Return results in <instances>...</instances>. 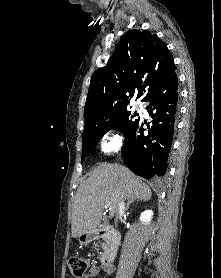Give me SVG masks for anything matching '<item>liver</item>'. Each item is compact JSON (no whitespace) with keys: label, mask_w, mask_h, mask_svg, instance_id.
<instances>
[{"label":"liver","mask_w":221,"mask_h":278,"mask_svg":"<svg viewBox=\"0 0 221 278\" xmlns=\"http://www.w3.org/2000/svg\"><path fill=\"white\" fill-rule=\"evenodd\" d=\"M151 196L149 186L125 166L100 163L77 190L72 210V237L96 230L107 203L112 218L121 200L148 201Z\"/></svg>","instance_id":"1"}]
</instances>
